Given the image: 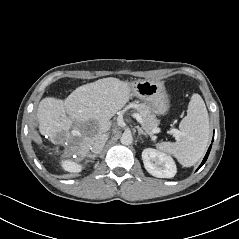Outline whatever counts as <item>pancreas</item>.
Wrapping results in <instances>:
<instances>
[{
    "mask_svg": "<svg viewBox=\"0 0 239 239\" xmlns=\"http://www.w3.org/2000/svg\"><path fill=\"white\" fill-rule=\"evenodd\" d=\"M134 108L139 112L143 119V128L150 133L153 129L159 125V120L156 118L150 108L144 103L134 104Z\"/></svg>",
    "mask_w": 239,
    "mask_h": 239,
    "instance_id": "pancreas-1",
    "label": "pancreas"
}]
</instances>
